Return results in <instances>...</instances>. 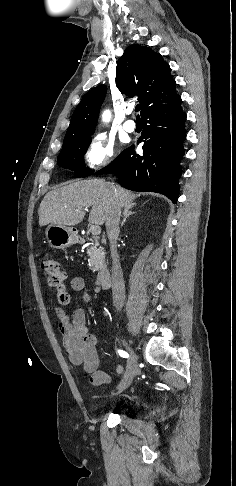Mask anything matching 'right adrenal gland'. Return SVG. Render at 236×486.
Wrapping results in <instances>:
<instances>
[{
  "label": "right adrenal gland",
  "instance_id": "right-adrenal-gland-1",
  "mask_svg": "<svg viewBox=\"0 0 236 486\" xmlns=\"http://www.w3.org/2000/svg\"><path fill=\"white\" fill-rule=\"evenodd\" d=\"M134 213L135 212L131 211V207H125L124 212H123L124 218H123V221L121 222V227H123L124 223L126 222V219Z\"/></svg>",
  "mask_w": 236,
  "mask_h": 486
}]
</instances>
